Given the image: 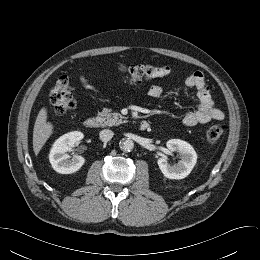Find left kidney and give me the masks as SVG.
<instances>
[{
  "label": "left kidney",
  "mask_w": 260,
  "mask_h": 260,
  "mask_svg": "<svg viewBox=\"0 0 260 260\" xmlns=\"http://www.w3.org/2000/svg\"><path fill=\"white\" fill-rule=\"evenodd\" d=\"M171 152H178L181 160L174 165H170L166 156L158 159V166L166 178L183 179L187 177L197 162V154L194 148L186 141L171 139L166 143Z\"/></svg>",
  "instance_id": "obj_1"
}]
</instances>
